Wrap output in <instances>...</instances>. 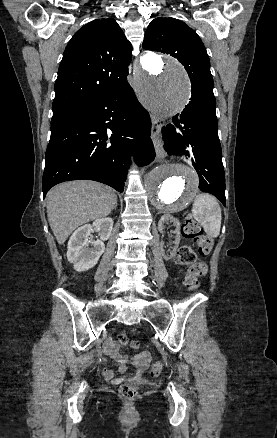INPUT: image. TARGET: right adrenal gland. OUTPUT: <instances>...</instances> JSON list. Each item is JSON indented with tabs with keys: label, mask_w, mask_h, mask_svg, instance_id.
I'll return each instance as SVG.
<instances>
[{
	"label": "right adrenal gland",
	"mask_w": 277,
	"mask_h": 438,
	"mask_svg": "<svg viewBox=\"0 0 277 438\" xmlns=\"http://www.w3.org/2000/svg\"><path fill=\"white\" fill-rule=\"evenodd\" d=\"M116 206H117V204H116ZM116 206H115L114 210H116Z\"/></svg>",
	"instance_id": "obj_1"
}]
</instances>
